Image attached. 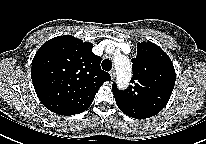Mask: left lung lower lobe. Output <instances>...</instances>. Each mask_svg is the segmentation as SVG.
I'll list each match as a JSON object with an SVG mask.
<instances>
[{"instance_id":"1","label":"left lung lower lobe","mask_w":206,"mask_h":144,"mask_svg":"<svg viewBox=\"0 0 206 144\" xmlns=\"http://www.w3.org/2000/svg\"><path fill=\"white\" fill-rule=\"evenodd\" d=\"M118 105V104H117ZM118 107H119V109H122L119 105H118ZM122 111H124V110H122Z\"/></svg>"}]
</instances>
